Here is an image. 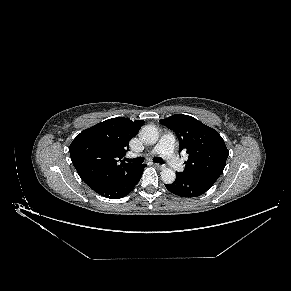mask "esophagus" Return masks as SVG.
<instances>
[{
	"mask_svg": "<svg viewBox=\"0 0 291 291\" xmlns=\"http://www.w3.org/2000/svg\"><path fill=\"white\" fill-rule=\"evenodd\" d=\"M155 166L159 169V170H162L165 168V165H161V164H158L156 163Z\"/></svg>",
	"mask_w": 291,
	"mask_h": 291,
	"instance_id": "34e87169",
	"label": "esophagus"
}]
</instances>
